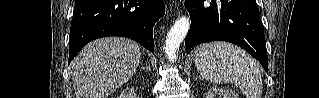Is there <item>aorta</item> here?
Segmentation results:
<instances>
[{
  "label": "aorta",
  "instance_id": "aorta-1",
  "mask_svg": "<svg viewBox=\"0 0 319 98\" xmlns=\"http://www.w3.org/2000/svg\"><path fill=\"white\" fill-rule=\"evenodd\" d=\"M189 28L190 19L187 16H183L175 21L168 32L165 43V53L170 62L176 61L177 50L186 37Z\"/></svg>",
  "mask_w": 319,
  "mask_h": 98
}]
</instances>
